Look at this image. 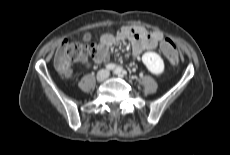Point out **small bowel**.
Here are the masks:
<instances>
[{
    "label": "small bowel",
    "instance_id": "obj_1",
    "mask_svg": "<svg viewBox=\"0 0 230 155\" xmlns=\"http://www.w3.org/2000/svg\"><path fill=\"white\" fill-rule=\"evenodd\" d=\"M90 36L86 34L84 40L88 41ZM128 41L131 44L134 57H139L144 51L153 50L165 41L164 35L159 30H148L143 26H121L113 32L101 36V42L106 46V52L102 58L95 60L102 63L108 58V49L120 42ZM167 57V56H166Z\"/></svg>",
    "mask_w": 230,
    "mask_h": 155
}]
</instances>
